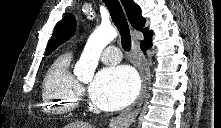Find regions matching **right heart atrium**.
I'll list each match as a JSON object with an SVG mask.
<instances>
[{"mask_svg":"<svg viewBox=\"0 0 221 128\" xmlns=\"http://www.w3.org/2000/svg\"><path fill=\"white\" fill-rule=\"evenodd\" d=\"M78 90H79V92H81V91H82V88H81V87H79V88H78Z\"/></svg>","mask_w":221,"mask_h":128,"instance_id":"obj_1","label":"right heart atrium"}]
</instances>
